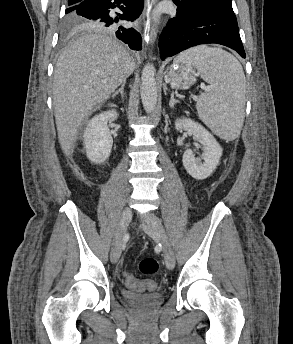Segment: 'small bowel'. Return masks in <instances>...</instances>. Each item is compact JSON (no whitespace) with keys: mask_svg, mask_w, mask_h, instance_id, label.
<instances>
[{"mask_svg":"<svg viewBox=\"0 0 293 344\" xmlns=\"http://www.w3.org/2000/svg\"><path fill=\"white\" fill-rule=\"evenodd\" d=\"M130 287V286H129ZM132 289H137V290H141L142 288L141 287H130Z\"/></svg>","mask_w":293,"mask_h":344,"instance_id":"obj_1","label":"small bowel"}]
</instances>
